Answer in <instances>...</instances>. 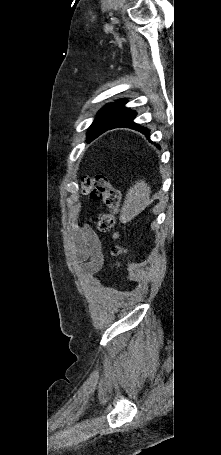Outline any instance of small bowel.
I'll return each mask as SVG.
<instances>
[{"instance_id":"small-bowel-1","label":"small bowel","mask_w":221,"mask_h":455,"mask_svg":"<svg viewBox=\"0 0 221 455\" xmlns=\"http://www.w3.org/2000/svg\"><path fill=\"white\" fill-rule=\"evenodd\" d=\"M71 242L76 261L84 265L85 274L95 286L100 287L101 282L93 273L102 266L103 255L92 230L88 226L79 228L72 235Z\"/></svg>"}]
</instances>
